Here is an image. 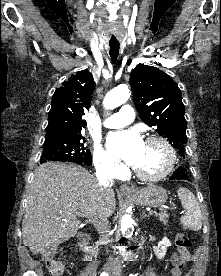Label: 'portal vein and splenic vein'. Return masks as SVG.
<instances>
[{
	"label": "portal vein and splenic vein",
	"mask_w": 221,
	"mask_h": 276,
	"mask_svg": "<svg viewBox=\"0 0 221 276\" xmlns=\"http://www.w3.org/2000/svg\"><path fill=\"white\" fill-rule=\"evenodd\" d=\"M154 213H156L155 211H151V212H149V215H152V214H154Z\"/></svg>",
	"instance_id": "1"
}]
</instances>
